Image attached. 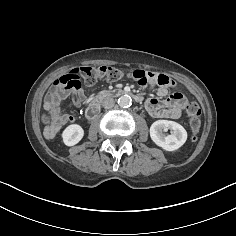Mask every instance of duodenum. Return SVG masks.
<instances>
[{"mask_svg":"<svg viewBox=\"0 0 236 236\" xmlns=\"http://www.w3.org/2000/svg\"><path fill=\"white\" fill-rule=\"evenodd\" d=\"M130 95L136 102L141 101V96L136 93H132L126 89H115V90H103L98 92L90 102L89 106L86 109V117L88 119L93 118L99 111L100 102L102 99L108 96H115V95Z\"/></svg>","mask_w":236,"mask_h":236,"instance_id":"duodenum-1","label":"duodenum"}]
</instances>
